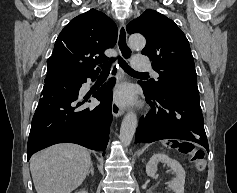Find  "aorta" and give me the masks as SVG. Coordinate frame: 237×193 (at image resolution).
<instances>
[{"label": "aorta", "mask_w": 237, "mask_h": 193, "mask_svg": "<svg viewBox=\"0 0 237 193\" xmlns=\"http://www.w3.org/2000/svg\"><path fill=\"white\" fill-rule=\"evenodd\" d=\"M146 45V40L141 34H132L129 37V46L133 49H142ZM137 128V116L134 112H128L121 124L120 141L122 145L129 146Z\"/></svg>", "instance_id": "762f6f07"}]
</instances>
